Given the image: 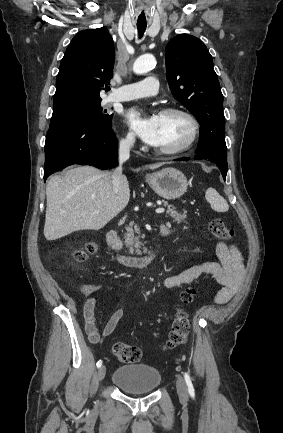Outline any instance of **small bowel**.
<instances>
[{
	"label": "small bowel",
	"mask_w": 283,
	"mask_h": 433,
	"mask_svg": "<svg viewBox=\"0 0 283 433\" xmlns=\"http://www.w3.org/2000/svg\"><path fill=\"white\" fill-rule=\"evenodd\" d=\"M215 252L218 262H204L168 276L163 280V286L168 289L178 287L207 274L211 275L222 286V289L214 297V302L217 304L228 302L242 284L244 277L243 256L237 247L223 242L216 245ZM95 306L96 300L94 298L87 299L83 306L85 330L92 343H97L103 337L113 333L124 314L122 309L115 310L100 332L96 326Z\"/></svg>",
	"instance_id": "obj_1"
}]
</instances>
